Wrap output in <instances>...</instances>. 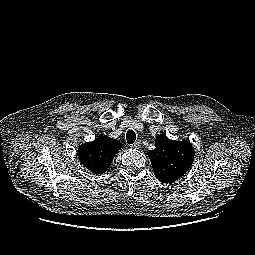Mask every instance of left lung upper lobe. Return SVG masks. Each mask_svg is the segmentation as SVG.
Returning a JSON list of instances; mask_svg holds the SVG:
<instances>
[{"label": "left lung upper lobe", "instance_id": "1", "mask_svg": "<svg viewBox=\"0 0 255 255\" xmlns=\"http://www.w3.org/2000/svg\"><path fill=\"white\" fill-rule=\"evenodd\" d=\"M156 148L149 151L155 177L163 183H173L182 177L194 161V149L189 141L170 140L160 134Z\"/></svg>", "mask_w": 255, "mask_h": 255}]
</instances>
